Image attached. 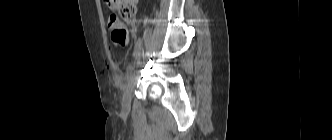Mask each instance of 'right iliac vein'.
<instances>
[{"mask_svg":"<svg viewBox=\"0 0 332 140\" xmlns=\"http://www.w3.org/2000/svg\"><path fill=\"white\" fill-rule=\"evenodd\" d=\"M133 87H134L133 78L130 77L126 90L123 95V100H122V106H123L124 111L130 110Z\"/></svg>","mask_w":332,"mask_h":140,"instance_id":"63e3f726","label":"right iliac vein"}]
</instances>
